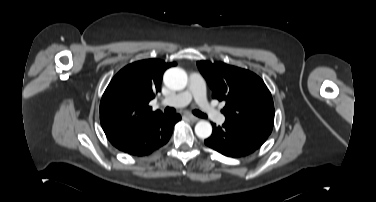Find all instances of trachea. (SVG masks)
Returning a JSON list of instances; mask_svg holds the SVG:
<instances>
[{
	"instance_id": "trachea-1",
	"label": "trachea",
	"mask_w": 376,
	"mask_h": 202,
	"mask_svg": "<svg viewBox=\"0 0 376 202\" xmlns=\"http://www.w3.org/2000/svg\"><path fill=\"white\" fill-rule=\"evenodd\" d=\"M164 111L166 113H175L176 112V110L174 108H170V107H166L164 109ZM193 114L196 115V116H198V117H200V118H206L207 117L204 113H202L199 110H193Z\"/></svg>"
}]
</instances>
